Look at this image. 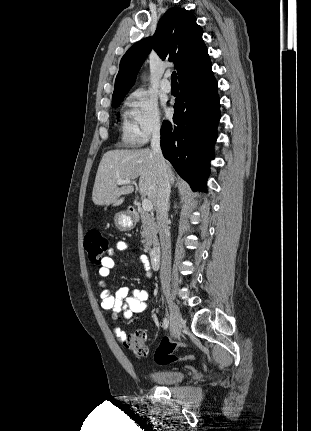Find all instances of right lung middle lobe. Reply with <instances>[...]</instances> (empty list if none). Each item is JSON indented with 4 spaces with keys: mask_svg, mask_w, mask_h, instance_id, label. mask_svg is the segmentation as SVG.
<instances>
[{
    "mask_svg": "<svg viewBox=\"0 0 311 431\" xmlns=\"http://www.w3.org/2000/svg\"><path fill=\"white\" fill-rule=\"evenodd\" d=\"M125 96H120L112 99V107L117 108L119 107L121 101L124 99Z\"/></svg>",
    "mask_w": 311,
    "mask_h": 431,
    "instance_id": "dd1d6c3e",
    "label": "right lung middle lobe"
}]
</instances>
